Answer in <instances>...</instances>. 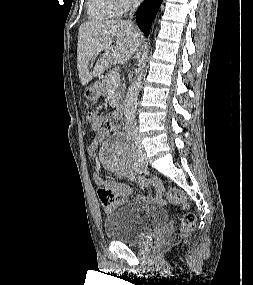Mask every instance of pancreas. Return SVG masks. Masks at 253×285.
<instances>
[{"label":"pancreas","instance_id":"obj_1","mask_svg":"<svg viewBox=\"0 0 253 285\" xmlns=\"http://www.w3.org/2000/svg\"><path fill=\"white\" fill-rule=\"evenodd\" d=\"M114 73H116V71L111 70L104 77H102L101 87H102V92L104 95H106L109 92V89L111 87H115L116 91H115L114 97L116 99V104L118 106L119 101L124 97V94H125V84H120V82H119L116 86H112L109 83V80Z\"/></svg>","mask_w":253,"mask_h":285}]
</instances>
